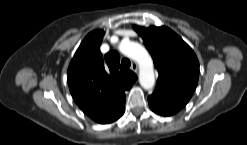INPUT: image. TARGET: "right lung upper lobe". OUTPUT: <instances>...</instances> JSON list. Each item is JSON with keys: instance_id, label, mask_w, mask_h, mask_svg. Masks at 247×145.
<instances>
[{"instance_id": "1", "label": "right lung upper lobe", "mask_w": 247, "mask_h": 145, "mask_svg": "<svg viewBox=\"0 0 247 145\" xmlns=\"http://www.w3.org/2000/svg\"><path fill=\"white\" fill-rule=\"evenodd\" d=\"M103 35V30H96L84 38L71 60L67 80L80 109L94 121L108 124L123 115L125 90L132 87L137 76L120 66L116 51L102 56Z\"/></svg>"}]
</instances>
